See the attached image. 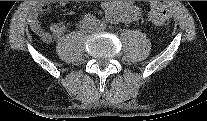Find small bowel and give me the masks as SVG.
<instances>
[{
	"label": "small bowel",
	"mask_w": 207,
	"mask_h": 121,
	"mask_svg": "<svg viewBox=\"0 0 207 121\" xmlns=\"http://www.w3.org/2000/svg\"><path fill=\"white\" fill-rule=\"evenodd\" d=\"M67 5L66 1H59L54 4L40 3L35 6L29 15V24L33 32L44 42H49L52 35L45 31L39 20V14H47L53 8L64 7ZM106 17L113 22L129 21L136 19L140 12L133 2H104L102 4ZM67 29V23L56 21L51 25V33L54 36H61Z\"/></svg>",
	"instance_id": "obj_1"
}]
</instances>
